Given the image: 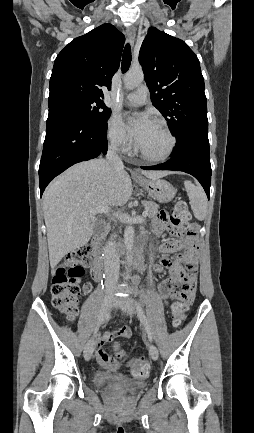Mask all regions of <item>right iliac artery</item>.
I'll return each instance as SVG.
<instances>
[{
	"label": "right iliac artery",
	"instance_id": "right-iliac-artery-1",
	"mask_svg": "<svg viewBox=\"0 0 254 433\" xmlns=\"http://www.w3.org/2000/svg\"><path fill=\"white\" fill-rule=\"evenodd\" d=\"M107 317H108V314L106 315L105 318H107ZM105 318H103V319H102V320L97 324V326H96V328H95V330H94V334H96L97 331L99 330V328L104 324Z\"/></svg>",
	"mask_w": 254,
	"mask_h": 433
}]
</instances>
